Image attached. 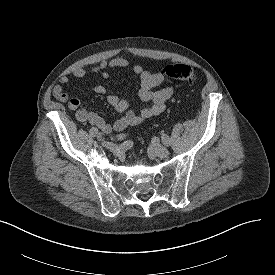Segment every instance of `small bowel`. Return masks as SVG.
I'll use <instances>...</instances> for the list:
<instances>
[{"mask_svg":"<svg viewBox=\"0 0 275 275\" xmlns=\"http://www.w3.org/2000/svg\"><path fill=\"white\" fill-rule=\"evenodd\" d=\"M129 65V61L124 57H116L110 60H101L97 65L91 68L78 67L71 71V75L76 78H83L88 75L98 74L104 79L109 78V69L125 68ZM132 72L139 78L140 85L138 95L141 101L148 103L147 106L135 111L129 107L128 102L115 95L108 94L107 89L103 85L94 87V92L106 95L107 102L113 107L115 112L121 114L113 124L107 123L102 117L94 112L87 110L81 106L80 101L75 97H70L63 89L62 85L70 82L67 75L59 78L58 85L52 90L53 96L66 103L68 108L75 111L76 119L81 123H87L97 127L103 133L109 134L112 130L121 132L129 127L138 125L139 123L154 118L162 114L166 109L167 102L174 96L175 89L172 86H165L155 90L163 84L165 77L162 72H152L146 70L141 65H134Z\"/></svg>","mask_w":275,"mask_h":275,"instance_id":"obj_1","label":"small bowel"}]
</instances>
